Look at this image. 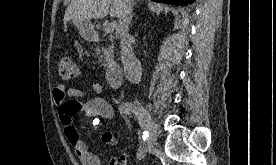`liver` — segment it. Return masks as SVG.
I'll use <instances>...</instances> for the list:
<instances>
[{
	"instance_id": "6515ba94",
	"label": "liver",
	"mask_w": 276,
	"mask_h": 165,
	"mask_svg": "<svg viewBox=\"0 0 276 165\" xmlns=\"http://www.w3.org/2000/svg\"><path fill=\"white\" fill-rule=\"evenodd\" d=\"M123 3L124 0H72L65 11L63 22L101 19L108 13L111 17H119Z\"/></svg>"
}]
</instances>
